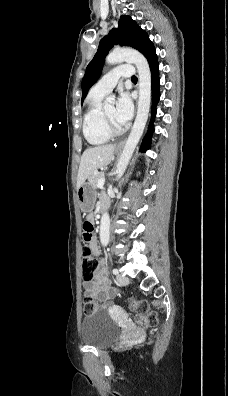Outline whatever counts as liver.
Masks as SVG:
<instances>
[{"label": "liver", "instance_id": "liver-1", "mask_svg": "<svg viewBox=\"0 0 228 396\" xmlns=\"http://www.w3.org/2000/svg\"><path fill=\"white\" fill-rule=\"evenodd\" d=\"M114 144L100 145L87 148L80 161L77 175V189L100 167L110 164L113 159Z\"/></svg>", "mask_w": 228, "mask_h": 396}]
</instances>
